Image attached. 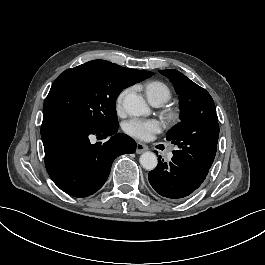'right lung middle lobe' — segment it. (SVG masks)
<instances>
[{
    "instance_id": "1",
    "label": "right lung middle lobe",
    "mask_w": 265,
    "mask_h": 265,
    "mask_svg": "<svg viewBox=\"0 0 265 265\" xmlns=\"http://www.w3.org/2000/svg\"><path fill=\"white\" fill-rule=\"evenodd\" d=\"M142 71L93 60L61 73L43 106V114L57 113L97 131L118 127L116 98L136 82Z\"/></svg>"
}]
</instances>
